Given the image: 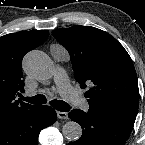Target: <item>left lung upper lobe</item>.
<instances>
[{"label":"left lung upper lobe","instance_id":"left-lung-upper-lobe-1","mask_svg":"<svg viewBox=\"0 0 145 145\" xmlns=\"http://www.w3.org/2000/svg\"><path fill=\"white\" fill-rule=\"evenodd\" d=\"M69 52L75 79L94 108L138 109L135 68L124 47L110 34L90 26L75 25L52 32Z\"/></svg>","mask_w":145,"mask_h":145}]
</instances>
